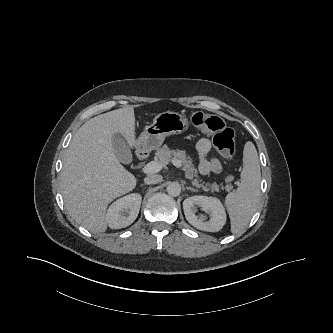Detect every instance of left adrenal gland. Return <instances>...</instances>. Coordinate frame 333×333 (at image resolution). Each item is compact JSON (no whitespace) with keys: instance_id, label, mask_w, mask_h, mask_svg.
I'll list each match as a JSON object with an SVG mask.
<instances>
[{"instance_id":"a2214340","label":"left adrenal gland","mask_w":333,"mask_h":333,"mask_svg":"<svg viewBox=\"0 0 333 333\" xmlns=\"http://www.w3.org/2000/svg\"><path fill=\"white\" fill-rule=\"evenodd\" d=\"M186 189H187V190H191V191H193V192H198L197 189H194V188H192V187H186Z\"/></svg>"}]
</instances>
